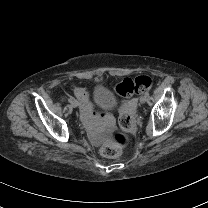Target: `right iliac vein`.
Returning <instances> with one entry per match:
<instances>
[{
  "mask_svg": "<svg viewBox=\"0 0 208 208\" xmlns=\"http://www.w3.org/2000/svg\"><path fill=\"white\" fill-rule=\"evenodd\" d=\"M71 106H72L73 108H76V107L78 106V102H77V101H73V102L71 103Z\"/></svg>",
  "mask_w": 208,
  "mask_h": 208,
  "instance_id": "1",
  "label": "right iliac vein"
}]
</instances>
